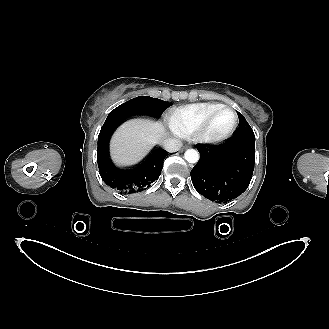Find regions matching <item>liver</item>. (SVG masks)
Returning a JSON list of instances; mask_svg holds the SVG:
<instances>
[{"mask_svg":"<svg viewBox=\"0 0 329 329\" xmlns=\"http://www.w3.org/2000/svg\"><path fill=\"white\" fill-rule=\"evenodd\" d=\"M165 136L161 122L132 119L123 123L111 140V154L120 166L137 163L150 148Z\"/></svg>","mask_w":329,"mask_h":329,"instance_id":"6515ba94","label":"liver"}]
</instances>
